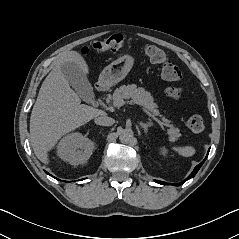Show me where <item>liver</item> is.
I'll return each instance as SVG.
<instances>
[{
    "label": "liver",
    "instance_id": "6515ba94",
    "mask_svg": "<svg viewBox=\"0 0 239 239\" xmlns=\"http://www.w3.org/2000/svg\"><path fill=\"white\" fill-rule=\"evenodd\" d=\"M75 63L85 74L89 67L77 51L63 53L45 78L30 117V137L36 157L49 163L48 151L66 133L104 114L102 110L81 104L61 71L63 64Z\"/></svg>",
    "mask_w": 239,
    "mask_h": 239
}]
</instances>
